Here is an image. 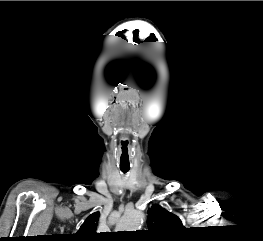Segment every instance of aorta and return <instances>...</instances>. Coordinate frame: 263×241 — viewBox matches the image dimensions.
<instances>
[{
  "label": "aorta",
  "instance_id": "obj_1",
  "mask_svg": "<svg viewBox=\"0 0 263 241\" xmlns=\"http://www.w3.org/2000/svg\"><path fill=\"white\" fill-rule=\"evenodd\" d=\"M144 215L141 211L134 210L126 214L119 222V229L137 230L143 223Z\"/></svg>",
  "mask_w": 263,
  "mask_h": 241
}]
</instances>
